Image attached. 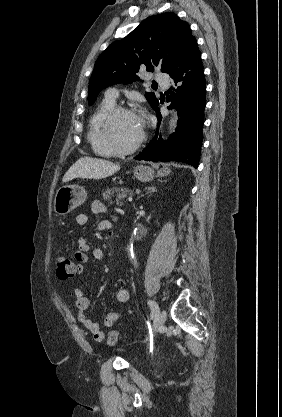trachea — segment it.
Masks as SVG:
<instances>
[{
    "label": "trachea",
    "instance_id": "obj_1",
    "mask_svg": "<svg viewBox=\"0 0 282 417\" xmlns=\"http://www.w3.org/2000/svg\"><path fill=\"white\" fill-rule=\"evenodd\" d=\"M152 86H157V84H152Z\"/></svg>",
    "mask_w": 282,
    "mask_h": 417
}]
</instances>
